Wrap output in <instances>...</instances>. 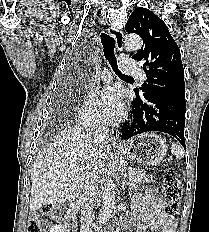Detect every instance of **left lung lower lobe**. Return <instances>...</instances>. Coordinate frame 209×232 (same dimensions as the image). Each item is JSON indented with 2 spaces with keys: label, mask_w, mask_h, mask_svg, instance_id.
Listing matches in <instances>:
<instances>
[{
  "label": "left lung lower lobe",
  "mask_w": 209,
  "mask_h": 232,
  "mask_svg": "<svg viewBox=\"0 0 209 232\" xmlns=\"http://www.w3.org/2000/svg\"><path fill=\"white\" fill-rule=\"evenodd\" d=\"M185 98L169 95L150 96L133 101L131 116L133 121L122 129V138L159 131L175 137L186 149L184 140Z\"/></svg>",
  "instance_id": "obj_1"
}]
</instances>
